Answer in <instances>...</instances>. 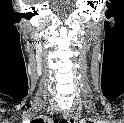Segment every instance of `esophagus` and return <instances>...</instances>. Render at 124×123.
I'll use <instances>...</instances> for the list:
<instances>
[{
  "label": "esophagus",
  "mask_w": 124,
  "mask_h": 123,
  "mask_svg": "<svg viewBox=\"0 0 124 123\" xmlns=\"http://www.w3.org/2000/svg\"><path fill=\"white\" fill-rule=\"evenodd\" d=\"M64 118L68 121V123H75L74 117L70 112H67L64 115Z\"/></svg>",
  "instance_id": "obj_1"
}]
</instances>
